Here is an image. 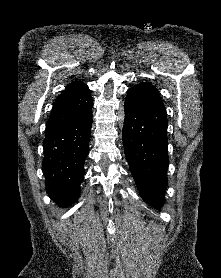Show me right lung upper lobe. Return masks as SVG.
I'll return each mask as SVG.
<instances>
[{"instance_id": "1", "label": "right lung upper lobe", "mask_w": 221, "mask_h": 278, "mask_svg": "<svg viewBox=\"0 0 221 278\" xmlns=\"http://www.w3.org/2000/svg\"><path fill=\"white\" fill-rule=\"evenodd\" d=\"M92 104V97L87 85L79 81L67 85L55 101L47 122L45 136L82 116Z\"/></svg>"}]
</instances>
